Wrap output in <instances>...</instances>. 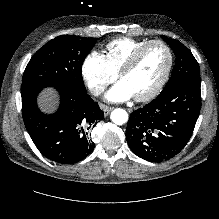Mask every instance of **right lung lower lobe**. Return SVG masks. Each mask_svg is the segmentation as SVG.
<instances>
[{
  "instance_id": "1",
  "label": "right lung lower lobe",
  "mask_w": 219,
  "mask_h": 219,
  "mask_svg": "<svg viewBox=\"0 0 219 219\" xmlns=\"http://www.w3.org/2000/svg\"><path fill=\"white\" fill-rule=\"evenodd\" d=\"M60 104L54 114H44L37 107L38 93L22 97L26 129L38 150L48 159L72 164L89 155L95 145L89 131L104 117L98 103L87 92L71 87L57 88Z\"/></svg>"
}]
</instances>
